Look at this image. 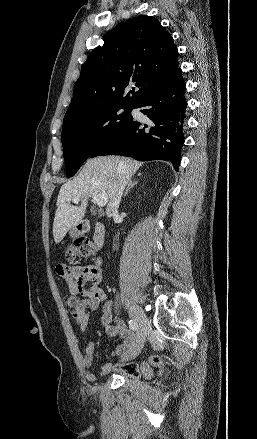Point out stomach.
I'll list each match as a JSON object with an SVG mask.
<instances>
[{
	"mask_svg": "<svg viewBox=\"0 0 257 439\" xmlns=\"http://www.w3.org/2000/svg\"><path fill=\"white\" fill-rule=\"evenodd\" d=\"M77 234H78V232L75 229H72L70 231V236H72V237L76 236Z\"/></svg>",
	"mask_w": 257,
	"mask_h": 439,
	"instance_id": "stomach-1",
	"label": "stomach"
}]
</instances>
